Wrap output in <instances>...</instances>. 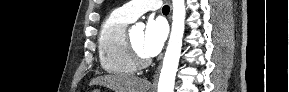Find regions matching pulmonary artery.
I'll list each match as a JSON object with an SVG mask.
<instances>
[{
	"label": "pulmonary artery",
	"mask_w": 289,
	"mask_h": 92,
	"mask_svg": "<svg viewBox=\"0 0 289 92\" xmlns=\"http://www.w3.org/2000/svg\"><path fill=\"white\" fill-rule=\"evenodd\" d=\"M161 7L160 0H133L118 10L131 20L137 19L141 14L149 10H157Z\"/></svg>",
	"instance_id": "1"
}]
</instances>
